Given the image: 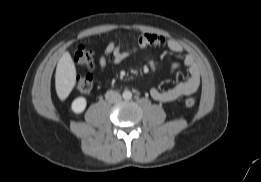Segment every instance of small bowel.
I'll list each match as a JSON object with an SVG mask.
<instances>
[{
  "label": "small bowel",
  "instance_id": "c3829d8e",
  "mask_svg": "<svg viewBox=\"0 0 261 182\" xmlns=\"http://www.w3.org/2000/svg\"><path fill=\"white\" fill-rule=\"evenodd\" d=\"M148 47H164L176 54H183L185 52L183 45L177 40L149 33L142 34L138 37L132 51L123 50L120 44L115 41H110L103 53L99 56V72L103 73L108 65L121 64L133 51ZM182 67L187 69V79L167 90L152 88L150 95L154 100L158 102H171L179 97L190 95L197 91L200 86L201 77L200 69L195 58L191 54H185L182 62L172 64L171 71L176 72Z\"/></svg>",
  "mask_w": 261,
  "mask_h": 182
}]
</instances>
